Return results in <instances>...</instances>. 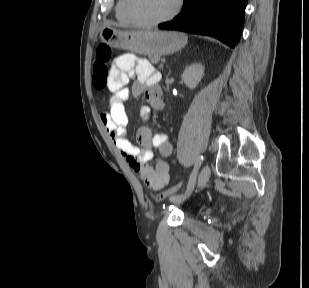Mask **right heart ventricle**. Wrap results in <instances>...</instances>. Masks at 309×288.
Returning a JSON list of instances; mask_svg holds the SVG:
<instances>
[{"label":"right heart ventricle","instance_id":"right-heart-ventricle-1","mask_svg":"<svg viewBox=\"0 0 309 288\" xmlns=\"http://www.w3.org/2000/svg\"><path fill=\"white\" fill-rule=\"evenodd\" d=\"M115 16L117 20L122 23V24H131L127 16L125 15L124 12V0H118L116 7H115Z\"/></svg>","mask_w":309,"mask_h":288}]
</instances>
